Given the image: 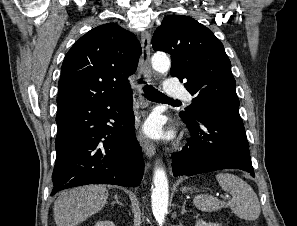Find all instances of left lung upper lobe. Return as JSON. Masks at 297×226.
I'll return each instance as SVG.
<instances>
[{
  "label": "left lung upper lobe",
  "instance_id": "left-lung-upper-lobe-1",
  "mask_svg": "<svg viewBox=\"0 0 297 226\" xmlns=\"http://www.w3.org/2000/svg\"><path fill=\"white\" fill-rule=\"evenodd\" d=\"M152 46L155 51L171 54V76L185 81L184 86L194 96L180 116L195 119L211 111L239 113L231 62L210 29L191 17L167 16L156 29Z\"/></svg>",
  "mask_w": 297,
  "mask_h": 226
}]
</instances>
